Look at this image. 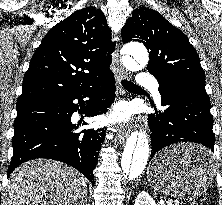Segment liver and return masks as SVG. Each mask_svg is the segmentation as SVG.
<instances>
[{
  "instance_id": "6515ba94",
  "label": "liver",
  "mask_w": 222,
  "mask_h": 205,
  "mask_svg": "<svg viewBox=\"0 0 222 205\" xmlns=\"http://www.w3.org/2000/svg\"><path fill=\"white\" fill-rule=\"evenodd\" d=\"M87 181L71 166L47 159L16 168L7 185L6 205H83Z\"/></svg>"
}]
</instances>
